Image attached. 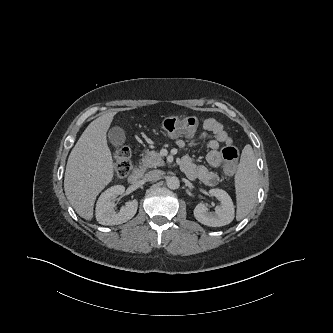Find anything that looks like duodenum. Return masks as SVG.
Wrapping results in <instances>:
<instances>
[{
  "label": "duodenum",
  "mask_w": 333,
  "mask_h": 333,
  "mask_svg": "<svg viewBox=\"0 0 333 333\" xmlns=\"http://www.w3.org/2000/svg\"><path fill=\"white\" fill-rule=\"evenodd\" d=\"M143 172L144 168L142 166L137 167L128 178L129 184L136 185L140 181Z\"/></svg>",
  "instance_id": "410a0bca"
}]
</instances>
